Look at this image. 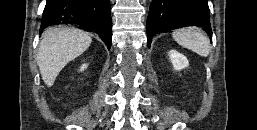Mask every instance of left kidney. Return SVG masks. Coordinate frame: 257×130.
<instances>
[{
	"instance_id": "1",
	"label": "left kidney",
	"mask_w": 257,
	"mask_h": 130,
	"mask_svg": "<svg viewBox=\"0 0 257 130\" xmlns=\"http://www.w3.org/2000/svg\"><path fill=\"white\" fill-rule=\"evenodd\" d=\"M168 55L175 70L179 71L188 67V59L183 54L176 50H171Z\"/></svg>"
}]
</instances>
